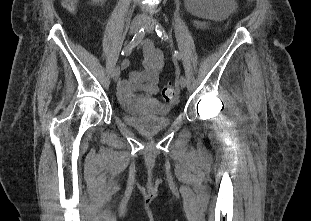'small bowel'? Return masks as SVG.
<instances>
[{
    "mask_svg": "<svg viewBox=\"0 0 311 221\" xmlns=\"http://www.w3.org/2000/svg\"><path fill=\"white\" fill-rule=\"evenodd\" d=\"M197 28L207 26L206 20H194ZM143 62L141 68L132 71L127 79L119 84L120 94L123 98L129 96L131 88L139 90L146 96H152L158 91L159 75L164 65V54L151 40H145L141 44Z\"/></svg>",
    "mask_w": 311,
    "mask_h": 221,
    "instance_id": "c3829d8e",
    "label": "small bowel"
}]
</instances>
